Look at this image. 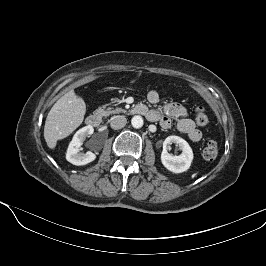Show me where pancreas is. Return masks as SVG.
<instances>
[{"instance_id": "obj_1", "label": "pancreas", "mask_w": 266, "mask_h": 266, "mask_svg": "<svg viewBox=\"0 0 266 266\" xmlns=\"http://www.w3.org/2000/svg\"><path fill=\"white\" fill-rule=\"evenodd\" d=\"M120 112H125V110H123L122 108H112V107H106V106H103L101 108H98L95 113L100 115V116H109V115H112V114H118Z\"/></svg>"}]
</instances>
